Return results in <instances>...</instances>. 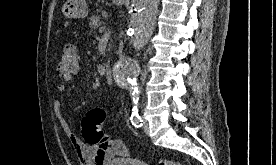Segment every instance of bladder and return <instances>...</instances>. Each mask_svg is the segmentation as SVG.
Returning a JSON list of instances; mask_svg holds the SVG:
<instances>
[{
	"mask_svg": "<svg viewBox=\"0 0 276 165\" xmlns=\"http://www.w3.org/2000/svg\"><path fill=\"white\" fill-rule=\"evenodd\" d=\"M109 165H148V164L136 159L115 158Z\"/></svg>",
	"mask_w": 276,
	"mask_h": 165,
	"instance_id": "1",
	"label": "bladder"
}]
</instances>
